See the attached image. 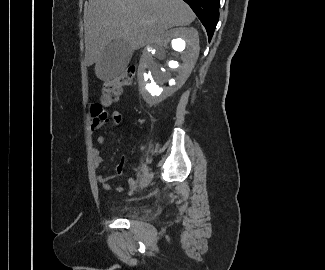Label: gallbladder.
Listing matches in <instances>:
<instances>
[{"instance_id": "obj_1", "label": "gallbladder", "mask_w": 325, "mask_h": 270, "mask_svg": "<svg viewBox=\"0 0 325 270\" xmlns=\"http://www.w3.org/2000/svg\"><path fill=\"white\" fill-rule=\"evenodd\" d=\"M131 57L132 49L126 40H113L105 48L96 71L101 77L112 79L126 68Z\"/></svg>"}]
</instances>
